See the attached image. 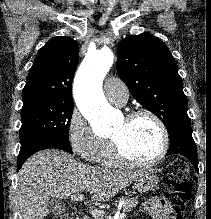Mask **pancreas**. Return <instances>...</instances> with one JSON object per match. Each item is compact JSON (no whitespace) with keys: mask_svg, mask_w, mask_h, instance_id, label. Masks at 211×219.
I'll list each match as a JSON object with an SVG mask.
<instances>
[{"mask_svg":"<svg viewBox=\"0 0 211 219\" xmlns=\"http://www.w3.org/2000/svg\"><path fill=\"white\" fill-rule=\"evenodd\" d=\"M120 201L123 202V211L124 212L131 211L138 204L137 197L136 198L121 197ZM94 219H107V217L105 216L104 213H100Z\"/></svg>","mask_w":211,"mask_h":219,"instance_id":"1","label":"pancreas"}]
</instances>
